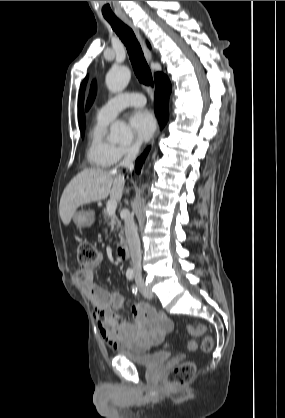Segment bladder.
I'll return each mask as SVG.
<instances>
[{
  "mask_svg": "<svg viewBox=\"0 0 285 418\" xmlns=\"http://www.w3.org/2000/svg\"><path fill=\"white\" fill-rule=\"evenodd\" d=\"M118 355L125 356L130 361L142 367H154L165 363L170 355L164 350L137 352L129 347L119 349Z\"/></svg>",
  "mask_w": 285,
  "mask_h": 418,
  "instance_id": "bladder-1",
  "label": "bladder"
}]
</instances>
